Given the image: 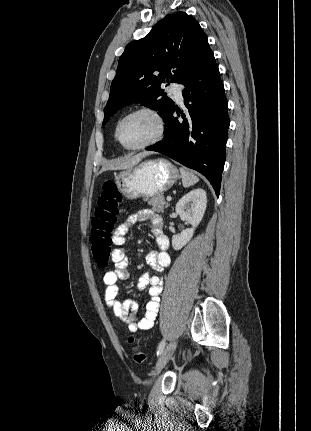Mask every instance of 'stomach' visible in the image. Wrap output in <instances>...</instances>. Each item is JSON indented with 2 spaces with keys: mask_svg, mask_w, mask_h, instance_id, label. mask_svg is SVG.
Listing matches in <instances>:
<instances>
[{
  "mask_svg": "<svg viewBox=\"0 0 311 431\" xmlns=\"http://www.w3.org/2000/svg\"><path fill=\"white\" fill-rule=\"evenodd\" d=\"M181 178L177 168L168 160H145L138 166H132L122 172H117L114 182L118 192L126 200L137 198H155L172 188L173 184Z\"/></svg>",
  "mask_w": 311,
  "mask_h": 431,
  "instance_id": "1",
  "label": "stomach"
}]
</instances>
